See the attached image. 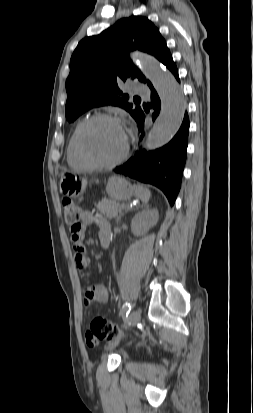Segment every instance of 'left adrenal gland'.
<instances>
[{
	"instance_id": "left-adrenal-gland-1",
	"label": "left adrenal gland",
	"mask_w": 253,
	"mask_h": 413,
	"mask_svg": "<svg viewBox=\"0 0 253 413\" xmlns=\"http://www.w3.org/2000/svg\"><path fill=\"white\" fill-rule=\"evenodd\" d=\"M122 216V215H121ZM121 216L117 219V222H119L120 221V219H121Z\"/></svg>"
}]
</instances>
